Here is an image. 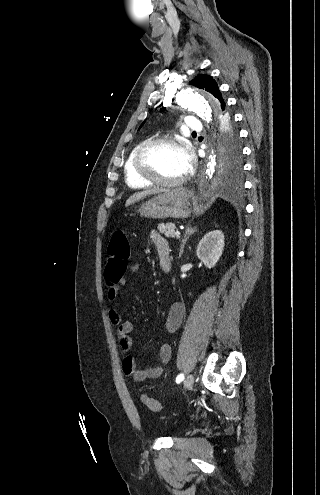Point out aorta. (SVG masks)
Instances as JSON below:
<instances>
[{
	"label": "aorta",
	"instance_id": "aorta-1",
	"mask_svg": "<svg viewBox=\"0 0 320 495\" xmlns=\"http://www.w3.org/2000/svg\"><path fill=\"white\" fill-rule=\"evenodd\" d=\"M177 105L189 109L199 115L203 120L209 122L212 117V111L219 113L217 100L208 92L201 89L185 90L178 94L176 98ZM214 149V148H213ZM211 152L210 161L208 162L206 173L209 180L212 178L216 165L215 149ZM222 188L229 187V182L223 180L219 183Z\"/></svg>",
	"mask_w": 320,
	"mask_h": 495
}]
</instances>
